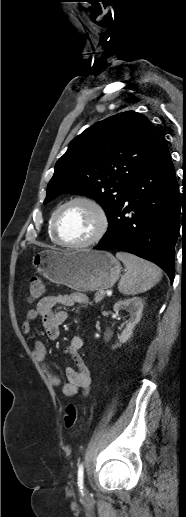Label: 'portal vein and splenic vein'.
<instances>
[{"instance_id":"18ae733b","label":"portal vein and splenic vein","mask_w":186,"mask_h":517,"mask_svg":"<svg viewBox=\"0 0 186 517\" xmlns=\"http://www.w3.org/2000/svg\"><path fill=\"white\" fill-rule=\"evenodd\" d=\"M101 293H102V294H106V292H105V291H101Z\"/></svg>"}]
</instances>
